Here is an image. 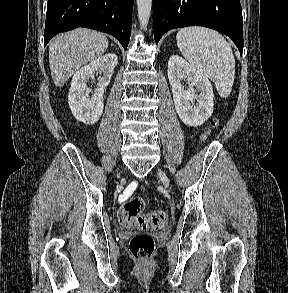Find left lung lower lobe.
<instances>
[{
	"instance_id": "0a47b994",
	"label": "left lung lower lobe",
	"mask_w": 288,
	"mask_h": 293,
	"mask_svg": "<svg viewBox=\"0 0 288 293\" xmlns=\"http://www.w3.org/2000/svg\"><path fill=\"white\" fill-rule=\"evenodd\" d=\"M240 0H154V39L158 44L167 31L204 26L229 36L243 51Z\"/></svg>"
}]
</instances>
